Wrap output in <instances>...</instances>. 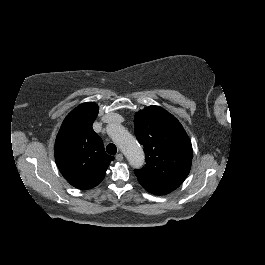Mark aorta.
Here are the masks:
<instances>
[{
	"mask_svg": "<svg viewBox=\"0 0 265 265\" xmlns=\"http://www.w3.org/2000/svg\"><path fill=\"white\" fill-rule=\"evenodd\" d=\"M117 132H110V125L106 127L107 135L114 141L119 142L121 151L125 155L128 164L131 168L140 170L143 168L145 164V153L142 147L139 145L137 140L125 130V128L121 125L116 127ZM124 134L123 140L118 139V135Z\"/></svg>",
	"mask_w": 265,
	"mask_h": 265,
	"instance_id": "762f6f07",
	"label": "aorta"
}]
</instances>
